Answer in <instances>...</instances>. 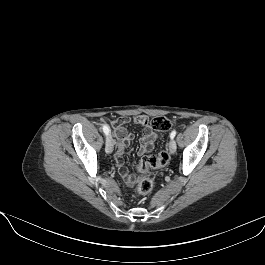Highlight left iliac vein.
Listing matches in <instances>:
<instances>
[{
	"label": "left iliac vein",
	"mask_w": 265,
	"mask_h": 265,
	"mask_svg": "<svg viewBox=\"0 0 265 265\" xmlns=\"http://www.w3.org/2000/svg\"><path fill=\"white\" fill-rule=\"evenodd\" d=\"M168 147H169V150H170V152L173 154V153H175V151H176V142H175V140H173V139H171L170 141H169V143H168Z\"/></svg>",
	"instance_id": "left-iliac-vein-1"
}]
</instances>
